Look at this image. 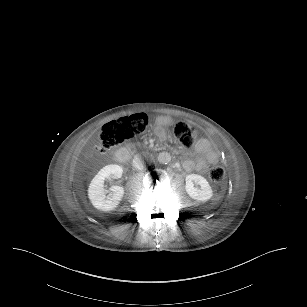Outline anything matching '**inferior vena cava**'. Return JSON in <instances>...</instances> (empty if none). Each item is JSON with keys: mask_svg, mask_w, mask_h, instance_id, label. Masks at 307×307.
<instances>
[{"mask_svg": "<svg viewBox=\"0 0 307 307\" xmlns=\"http://www.w3.org/2000/svg\"><path fill=\"white\" fill-rule=\"evenodd\" d=\"M133 166L137 169H144V164L139 155H135L133 158Z\"/></svg>", "mask_w": 307, "mask_h": 307, "instance_id": "602c4592", "label": "inferior vena cava"}]
</instances>
